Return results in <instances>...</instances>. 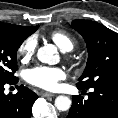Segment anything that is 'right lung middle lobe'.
<instances>
[{
	"instance_id": "obj_1",
	"label": "right lung middle lobe",
	"mask_w": 118,
	"mask_h": 118,
	"mask_svg": "<svg viewBox=\"0 0 118 118\" xmlns=\"http://www.w3.org/2000/svg\"><path fill=\"white\" fill-rule=\"evenodd\" d=\"M28 36L7 23L0 22V83L14 80L17 67V50Z\"/></svg>"
}]
</instances>
